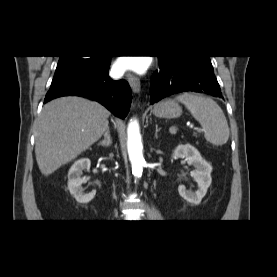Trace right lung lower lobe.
Here are the masks:
<instances>
[{
	"mask_svg": "<svg viewBox=\"0 0 277 277\" xmlns=\"http://www.w3.org/2000/svg\"><path fill=\"white\" fill-rule=\"evenodd\" d=\"M110 61L107 57L93 70L51 86L44 103L61 96H82L100 102L115 116L125 118L132 101L131 89L127 81H114L108 76Z\"/></svg>",
	"mask_w": 277,
	"mask_h": 277,
	"instance_id": "98d812e1",
	"label": "right lung lower lobe"
}]
</instances>
